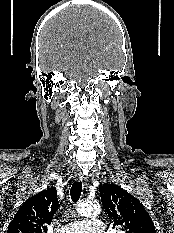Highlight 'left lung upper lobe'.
<instances>
[{
	"mask_svg": "<svg viewBox=\"0 0 174 233\" xmlns=\"http://www.w3.org/2000/svg\"><path fill=\"white\" fill-rule=\"evenodd\" d=\"M101 201L113 226L125 233H156L151 217L140 201L121 187L106 183L99 186Z\"/></svg>",
	"mask_w": 174,
	"mask_h": 233,
	"instance_id": "left-lung-upper-lobe-1",
	"label": "left lung upper lobe"
}]
</instances>
